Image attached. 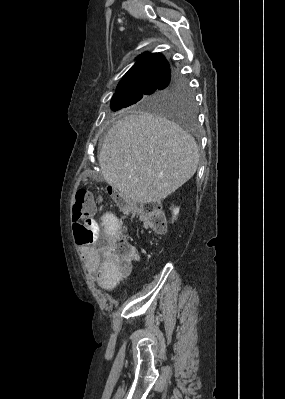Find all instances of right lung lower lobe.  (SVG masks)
<instances>
[{"mask_svg": "<svg viewBox=\"0 0 285 399\" xmlns=\"http://www.w3.org/2000/svg\"><path fill=\"white\" fill-rule=\"evenodd\" d=\"M180 78L179 75H177V73H171V70L169 69L167 74L165 75L161 85L169 83L171 81H173L174 79Z\"/></svg>", "mask_w": 285, "mask_h": 399, "instance_id": "obj_1", "label": "right lung lower lobe"}]
</instances>
